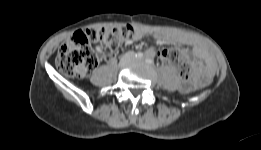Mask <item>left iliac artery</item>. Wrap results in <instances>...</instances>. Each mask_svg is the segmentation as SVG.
<instances>
[{
  "label": "left iliac artery",
  "mask_w": 261,
  "mask_h": 150,
  "mask_svg": "<svg viewBox=\"0 0 261 150\" xmlns=\"http://www.w3.org/2000/svg\"><path fill=\"white\" fill-rule=\"evenodd\" d=\"M146 62H147L148 64H150V65L154 64V61H153V59H151V58H147V59H146Z\"/></svg>",
  "instance_id": "44dca946"
}]
</instances>
